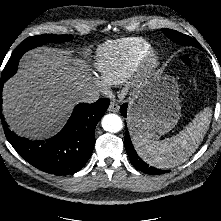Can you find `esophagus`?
Segmentation results:
<instances>
[{
    "label": "esophagus",
    "instance_id": "1",
    "mask_svg": "<svg viewBox=\"0 0 221 221\" xmlns=\"http://www.w3.org/2000/svg\"><path fill=\"white\" fill-rule=\"evenodd\" d=\"M109 112L117 113L119 111V105L115 102H111L108 107Z\"/></svg>",
    "mask_w": 221,
    "mask_h": 221
}]
</instances>
